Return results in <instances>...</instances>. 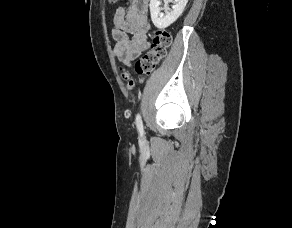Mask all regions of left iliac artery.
<instances>
[{
	"mask_svg": "<svg viewBox=\"0 0 292 228\" xmlns=\"http://www.w3.org/2000/svg\"><path fill=\"white\" fill-rule=\"evenodd\" d=\"M136 126L141 135H143V122L140 114L136 115Z\"/></svg>",
	"mask_w": 292,
	"mask_h": 228,
	"instance_id": "obj_1",
	"label": "left iliac artery"
}]
</instances>
